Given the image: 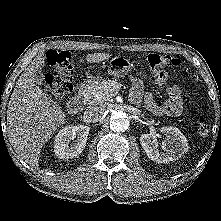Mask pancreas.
<instances>
[{
    "mask_svg": "<svg viewBox=\"0 0 221 221\" xmlns=\"http://www.w3.org/2000/svg\"><path fill=\"white\" fill-rule=\"evenodd\" d=\"M122 85L113 80H103L92 85L85 93V98L93 104H99L110 99L117 94Z\"/></svg>",
    "mask_w": 221,
    "mask_h": 221,
    "instance_id": "1",
    "label": "pancreas"
}]
</instances>
